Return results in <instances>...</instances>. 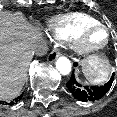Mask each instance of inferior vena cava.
<instances>
[{"instance_id": "obj_1", "label": "inferior vena cava", "mask_w": 117, "mask_h": 117, "mask_svg": "<svg viewBox=\"0 0 117 117\" xmlns=\"http://www.w3.org/2000/svg\"><path fill=\"white\" fill-rule=\"evenodd\" d=\"M47 45L45 41H39L35 44L32 53L33 55H37V56H44L47 53Z\"/></svg>"}]
</instances>
